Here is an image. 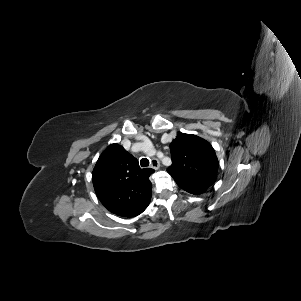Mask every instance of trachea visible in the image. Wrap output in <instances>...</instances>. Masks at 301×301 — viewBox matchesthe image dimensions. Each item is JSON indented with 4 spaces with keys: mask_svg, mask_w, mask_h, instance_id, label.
Here are the masks:
<instances>
[{
    "mask_svg": "<svg viewBox=\"0 0 301 301\" xmlns=\"http://www.w3.org/2000/svg\"><path fill=\"white\" fill-rule=\"evenodd\" d=\"M149 160L147 159V158H142L141 160H140V164H141V166L142 167H147V166H149Z\"/></svg>",
    "mask_w": 301,
    "mask_h": 301,
    "instance_id": "3493384b",
    "label": "trachea"
}]
</instances>
